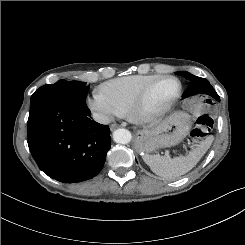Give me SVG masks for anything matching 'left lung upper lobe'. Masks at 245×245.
<instances>
[{"instance_id":"left-lung-upper-lobe-1","label":"left lung upper lobe","mask_w":245,"mask_h":245,"mask_svg":"<svg viewBox=\"0 0 245 245\" xmlns=\"http://www.w3.org/2000/svg\"><path fill=\"white\" fill-rule=\"evenodd\" d=\"M176 74L181 75L190 81V85L184 92L183 96L206 94L213 97L214 94H217L214 88L210 85L209 81L205 78L194 76L188 72H176Z\"/></svg>"}]
</instances>
